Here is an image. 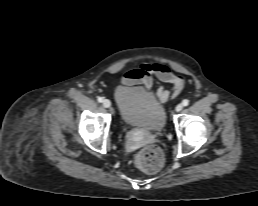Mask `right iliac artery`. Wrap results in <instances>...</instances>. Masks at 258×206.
<instances>
[{
    "mask_svg": "<svg viewBox=\"0 0 258 206\" xmlns=\"http://www.w3.org/2000/svg\"><path fill=\"white\" fill-rule=\"evenodd\" d=\"M98 102H103V97H98Z\"/></svg>",
    "mask_w": 258,
    "mask_h": 206,
    "instance_id": "1",
    "label": "right iliac artery"
}]
</instances>
